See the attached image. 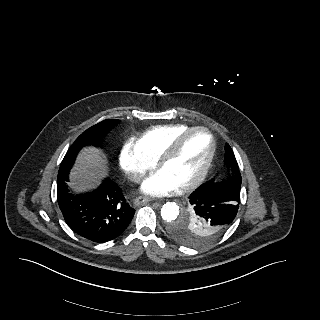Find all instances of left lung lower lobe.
<instances>
[{
  "mask_svg": "<svg viewBox=\"0 0 320 320\" xmlns=\"http://www.w3.org/2000/svg\"><path fill=\"white\" fill-rule=\"evenodd\" d=\"M191 207L208 224L209 239L223 234L240 205V189L222 183H204L189 197Z\"/></svg>",
  "mask_w": 320,
  "mask_h": 320,
  "instance_id": "1",
  "label": "left lung lower lobe"
}]
</instances>
